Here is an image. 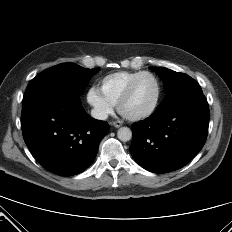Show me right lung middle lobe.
<instances>
[{
    "label": "right lung middle lobe",
    "instance_id": "obj_1",
    "mask_svg": "<svg viewBox=\"0 0 232 232\" xmlns=\"http://www.w3.org/2000/svg\"><path fill=\"white\" fill-rule=\"evenodd\" d=\"M100 69H87L74 63H63L48 68L28 84L23 102L45 94H72L80 96L91 77Z\"/></svg>",
    "mask_w": 232,
    "mask_h": 232
}]
</instances>
